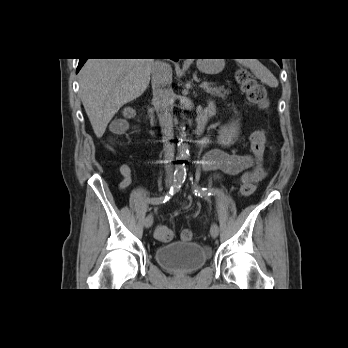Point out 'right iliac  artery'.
<instances>
[{
	"mask_svg": "<svg viewBox=\"0 0 348 348\" xmlns=\"http://www.w3.org/2000/svg\"><path fill=\"white\" fill-rule=\"evenodd\" d=\"M186 179V169L181 167L174 173V182L167 193L159 198L148 197L154 204H162L168 201L176 192H178Z\"/></svg>",
	"mask_w": 348,
	"mask_h": 348,
	"instance_id": "obj_1",
	"label": "right iliac artery"
}]
</instances>
